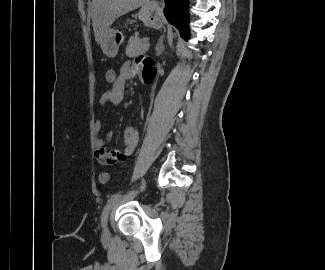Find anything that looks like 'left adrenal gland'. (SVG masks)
<instances>
[{
	"label": "left adrenal gland",
	"mask_w": 325,
	"mask_h": 270,
	"mask_svg": "<svg viewBox=\"0 0 325 270\" xmlns=\"http://www.w3.org/2000/svg\"><path fill=\"white\" fill-rule=\"evenodd\" d=\"M164 50L163 40L160 39L156 45V56H159Z\"/></svg>",
	"instance_id": "1"
}]
</instances>
